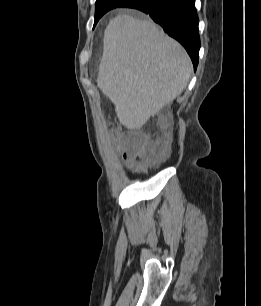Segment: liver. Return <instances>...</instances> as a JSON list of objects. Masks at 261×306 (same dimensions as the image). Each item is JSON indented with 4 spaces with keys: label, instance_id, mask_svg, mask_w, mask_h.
Here are the masks:
<instances>
[{
    "label": "liver",
    "instance_id": "obj_1",
    "mask_svg": "<svg viewBox=\"0 0 261 306\" xmlns=\"http://www.w3.org/2000/svg\"><path fill=\"white\" fill-rule=\"evenodd\" d=\"M192 70L184 48L153 22L123 14L107 25L97 85L128 129L140 128L179 96Z\"/></svg>",
    "mask_w": 261,
    "mask_h": 306
}]
</instances>
